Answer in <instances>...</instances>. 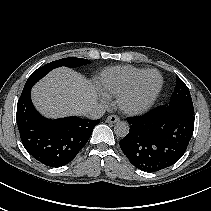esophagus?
Returning a JSON list of instances; mask_svg holds the SVG:
<instances>
[{"instance_id": "34e87169", "label": "esophagus", "mask_w": 211, "mask_h": 211, "mask_svg": "<svg viewBox=\"0 0 211 211\" xmlns=\"http://www.w3.org/2000/svg\"><path fill=\"white\" fill-rule=\"evenodd\" d=\"M106 121L108 123H117V122L120 121V118L116 115H110V116L107 117Z\"/></svg>"}]
</instances>
